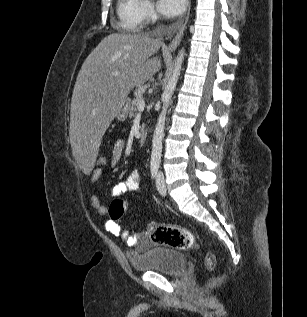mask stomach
<instances>
[{
  "mask_svg": "<svg viewBox=\"0 0 307 317\" xmlns=\"http://www.w3.org/2000/svg\"><path fill=\"white\" fill-rule=\"evenodd\" d=\"M130 105V101L127 98L125 102L120 106V108L117 110L115 117L118 121H125L128 115V107Z\"/></svg>",
  "mask_w": 307,
  "mask_h": 317,
  "instance_id": "stomach-1",
  "label": "stomach"
}]
</instances>
